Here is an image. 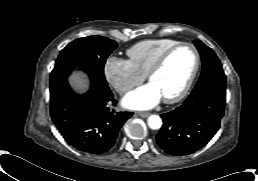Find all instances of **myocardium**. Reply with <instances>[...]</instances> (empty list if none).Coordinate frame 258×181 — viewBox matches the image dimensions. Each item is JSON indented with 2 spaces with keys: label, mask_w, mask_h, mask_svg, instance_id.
Segmentation results:
<instances>
[{
  "label": "myocardium",
  "mask_w": 258,
  "mask_h": 181,
  "mask_svg": "<svg viewBox=\"0 0 258 181\" xmlns=\"http://www.w3.org/2000/svg\"><path fill=\"white\" fill-rule=\"evenodd\" d=\"M184 46L190 47L195 54L194 68H193L192 73H191L188 81L186 82L184 88L177 95H175L173 97L163 98V101L168 104H173V103H177V102L181 101L191 90V88L194 84V81L197 77V74L199 72L200 64H201V57H200V53H199L197 47L193 43H190V42H178L177 44H175V45L171 46L170 48H168L167 50H165L158 57V59L155 61V63L152 65L149 72L147 73V79H148V81L151 82L152 78L163 68V66L169 59V57L175 51H177L179 48L184 47Z\"/></svg>",
  "instance_id": "myocardium-1"
}]
</instances>
